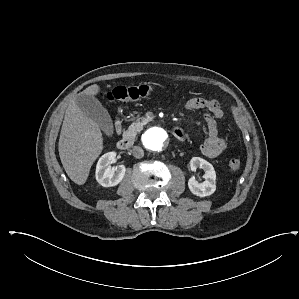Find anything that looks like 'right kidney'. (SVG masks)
I'll return each instance as SVG.
<instances>
[{
  "label": "right kidney",
  "mask_w": 299,
  "mask_h": 299,
  "mask_svg": "<svg viewBox=\"0 0 299 299\" xmlns=\"http://www.w3.org/2000/svg\"><path fill=\"white\" fill-rule=\"evenodd\" d=\"M116 157L115 152H108L100 157L96 165L95 176L97 182L103 187H112L118 185L124 178L126 168L119 165L115 169L110 167V162Z\"/></svg>",
  "instance_id": "ca27d5eb"
}]
</instances>
